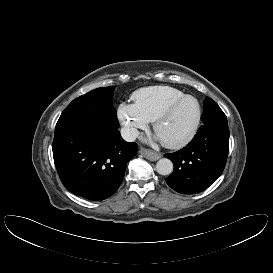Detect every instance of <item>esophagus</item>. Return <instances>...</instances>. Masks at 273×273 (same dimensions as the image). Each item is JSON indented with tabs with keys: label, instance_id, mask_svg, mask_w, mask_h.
<instances>
[{
	"label": "esophagus",
	"instance_id": "34e87169",
	"mask_svg": "<svg viewBox=\"0 0 273 273\" xmlns=\"http://www.w3.org/2000/svg\"><path fill=\"white\" fill-rule=\"evenodd\" d=\"M139 153L142 154L146 159L150 161H156L162 157L160 153L154 152L150 149H146L143 147L139 149Z\"/></svg>",
	"mask_w": 273,
	"mask_h": 273
}]
</instances>
